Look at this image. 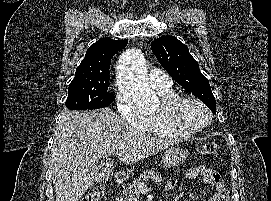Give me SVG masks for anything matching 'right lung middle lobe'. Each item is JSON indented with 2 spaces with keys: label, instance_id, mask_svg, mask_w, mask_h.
<instances>
[{
  "label": "right lung middle lobe",
  "instance_id": "obj_1",
  "mask_svg": "<svg viewBox=\"0 0 271 201\" xmlns=\"http://www.w3.org/2000/svg\"><path fill=\"white\" fill-rule=\"evenodd\" d=\"M109 74L75 76L68 88L65 105L70 110L98 109L110 105L115 97L108 91Z\"/></svg>",
  "mask_w": 271,
  "mask_h": 201
}]
</instances>
